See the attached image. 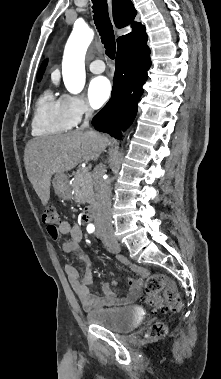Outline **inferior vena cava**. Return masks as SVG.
<instances>
[{
	"label": "inferior vena cava",
	"mask_w": 221,
	"mask_h": 379,
	"mask_svg": "<svg viewBox=\"0 0 221 379\" xmlns=\"http://www.w3.org/2000/svg\"><path fill=\"white\" fill-rule=\"evenodd\" d=\"M92 116V109L86 107L85 119L81 125V130L89 127V120ZM105 168L103 164H99L94 172V188L97 200V210L95 217V225L97 229L112 230L111 223V199L108 182L103 179Z\"/></svg>",
	"instance_id": "obj_1"
}]
</instances>
